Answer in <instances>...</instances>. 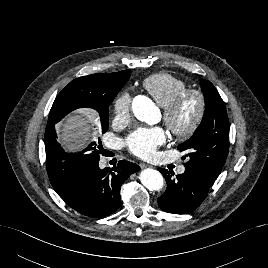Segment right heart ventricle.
<instances>
[{
  "label": "right heart ventricle",
  "instance_id": "obj_1",
  "mask_svg": "<svg viewBox=\"0 0 268 268\" xmlns=\"http://www.w3.org/2000/svg\"><path fill=\"white\" fill-rule=\"evenodd\" d=\"M142 86L164 108L186 88V83L168 73H156L147 77Z\"/></svg>",
  "mask_w": 268,
  "mask_h": 268
}]
</instances>
